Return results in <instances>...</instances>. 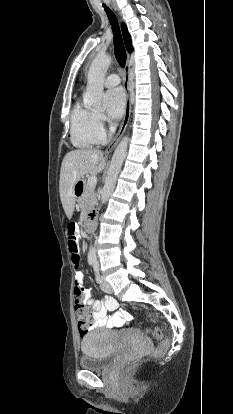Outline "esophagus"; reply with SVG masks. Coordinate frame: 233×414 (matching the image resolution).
<instances>
[{"label": "esophagus", "mask_w": 233, "mask_h": 414, "mask_svg": "<svg viewBox=\"0 0 233 414\" xmlns=\"http://www.w3.org/2000/svg\"><path fill=\"white\" fill-rule=\"evenodd\" d=\"M130 71H131L130 56L128 55L127 64L125 66V79H124V88H125V91H126L124 117H123L122 123L120 125V128H119L117 134L115 135V137L113 138V140L111 141V143L108 145V147L105 150L106 154H110L112 152V150L115 148V146L117 145V143L119 142V140L123 136V134H124V132L127 128L128 122H129V118H130V114H131Z\"/></svg>", "instance_id": "34e87169"}]
</instances>
